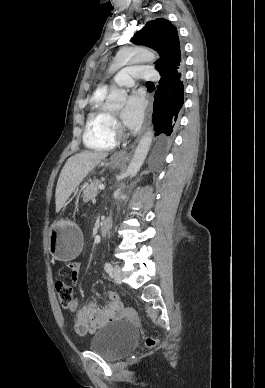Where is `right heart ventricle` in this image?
Returning a JSON list of instances; mask_svg holds the SVG:
<instances>
[{
  "mask_svg": "<svg viewBox=\"0 0 265 388\" xmlns=\"http://www.w3.org/2000/svg\"><path fill=\"white\" fill-rule=\"evenodd\" d=\"M108 96V91H95L85 127L84 140L86 144L97 150H109L116 144L112 116L104 107L105 99Z\"/></svg>",
  "mask_w": 265,
  "mask_h": 388,
  "instance_id": "e07e8e85",
  "label": "right heart ventricle"
}]
</instances>
